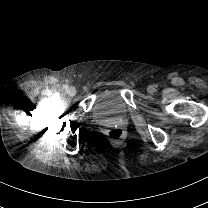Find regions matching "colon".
Wrapping results in <instances>:
<instances>
[{
    "instance_id": "colon-1",
    "label": "colon",
    "mask_w": 208,
    "mask_h": 208,
    "mask_svg": "<svg viewBox=\"0 0 208 208\" xmlns=\"http://www.w3.org/2000/svg\"><path fill=\"white\" fill-rule=\"evenodd\" d=\"M122 135V131L119 129H113L109 132V136L114 139H119Z\"/></svg>"
}]
</instances>
